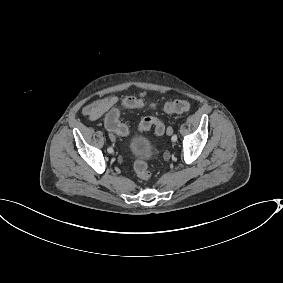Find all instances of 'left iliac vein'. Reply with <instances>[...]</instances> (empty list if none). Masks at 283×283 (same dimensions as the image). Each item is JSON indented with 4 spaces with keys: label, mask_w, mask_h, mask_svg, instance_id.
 <instances>
[{
    "label": "left iliac vein",
    "mask_w": 283,
    "mask_h": 283,
    "mask_svg": "<svg viewBox=\"0 0 283 283\" xmlns=\"http://www.w3.org/2000/svg\"><path fill=\"white\" fill-rule=\"evenodd\" d=\"M173 133V129H172V127H169L168 129H167V134L168 135H171Z\"/></svg>",
    "instance_id": "1"
}]
</instances>
